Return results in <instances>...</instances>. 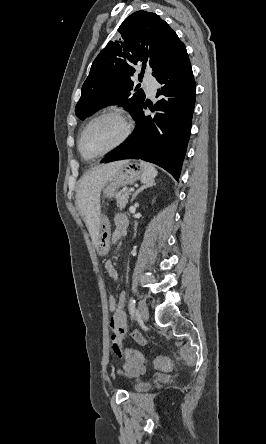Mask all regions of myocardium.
<instances>
[{"label": "myocardium", "mask_w": 266, "mask_h": 444, "mask_svg": "<svg viewBox=\"0 0 266 444\" xmlns=\"http://www.w3.org/2000/svg\"><path fill=\"white\" fill-rule=\"evenodd\" d=\"M104 117H113V118L119 120L120 123L122 124L123 132H122V135L120 136V138L110 148H108L107 150H105V151H103V152H101L99 154L93 155V156H103V155H106V154H108V153H110V152L120 148L128 140V138L130 137L131 132H132L131 124L128 121V119L122 113H120L118 111H113V110L101 112V113L95 115L93 118H91L87 122V124L83 127V129L81 130V132L79 134L77 146H78V150H79L80 154L83 157H88V155L84 152V149H83V146H82V141H83V137H84V134H85L86 130L95 121H97V120H99L101 118H104Z\"/></svg>", "instance_id": "f54148a6"}]
</instances>
